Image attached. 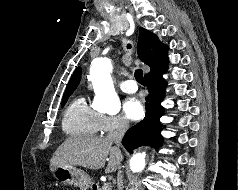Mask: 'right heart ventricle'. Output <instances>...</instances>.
I'll return each mask as SVG.
<instances>
[{"mask_svg": "<svg viewBox=\"0 0 238 190\" xmlns=\"http://www.w3.org/2000/svg\"><path fill=\"white\" fill-rule=\"evenodd\" d=\"M62 128L70 136H95L101 132V114L90 107L83 96H77L67 107Z\"/></svg>", "mask_w": 238, "mask_h": 190, "instance_id": "right-heart-ventricle-1", "label": "right heart ventricle"}]
</instances>
